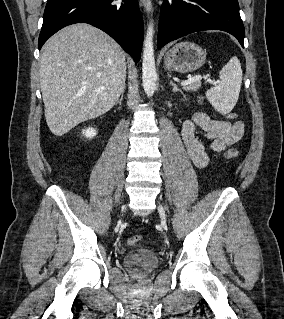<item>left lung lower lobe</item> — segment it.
Here are the masks:
<instances>
[{
	"label": "left lung lower lobe",
	"mask_w": 284,
	"mask_h": 319,
	"mask_svg": "<svg viewBox=\"0 0 284 319\" xmlns=\"http://www.w3.org/2000/svg\"><path fill=\"white\" fill-rule=\"evenodd\" d=\"M222 30L235 36L242 47L245 29L237 0H172L162 5L157 47L187 34Z\"/></svg>",
	"instance_id": "left-lung-lower-lobe-1"
}]
</instances>
